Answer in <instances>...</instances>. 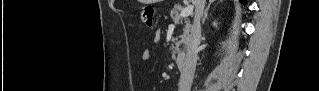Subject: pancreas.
Returning <instances> with one entry per match:
<instances>
[{"instance_id":"cf45deb5","label":"pancreas","mask_w":319,"mask_h":91,"mask_svg":"<svg viewBox=\"0 0 319 91\" xmlns=\"http://www.w3.org/2000/svg\"><path fill=\"white\" fill-rule=\"evenodd\" d=\"M181 10H182V7L179 5H176L171 10V13H170V16L175 22V24L182 23L183 21L185 23V28L183 29V35L179 37L180 40H178L179 39L178 37L172 39V42H173L172 49H171L172 58L178 61H181L182 58H184V50L189 40V33L191 30V24L189 19H187L186 17L185 18L180 17Z\"/></svg>"}]
</instances>
